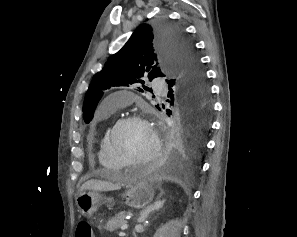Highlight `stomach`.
<instances>
[{
  "instance_id": "stomach-1",
  "label": "stomach",
  "mask_w": 297,
  "mask_h": 237,
  "mask_svg": "<svg viewBox=\"0 0 297 237\" xmlns=\"http://www.w3.org/2000/svg\"><path fill=\"white\" fill-rule=\"evenodd\" d=\"M155 195L152 184L147 181H138L132 184L124 193L125 204L133 208H144L149 205ZM103 196L97 191H84L79 194L76 204L83 216H91L98 208ZM112 202L111 198L107 199Z\"/></svg>"
}]
</instances>
